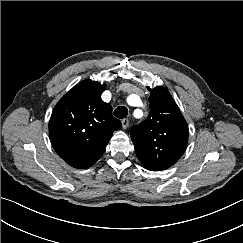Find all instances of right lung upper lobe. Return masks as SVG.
<instances>
[{"label": "right lung upper lobe", "instance_id": "1", "mask_svg": "<svg viewBox=\"0 0 243 243\" xmlns=\"http://www.w3.org/2000/svg\"><path fill=\"white\" fill-rule=\"evenodd\" d=\"M105 86L85 80L56 104L49 121V137L56 153L70 166L91 167L105 152L114 131L122 125L112 107L101 100Z\"/></svg>", "mask_w": 243, "mask_h": 243}]
</instances>
